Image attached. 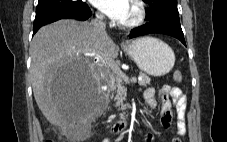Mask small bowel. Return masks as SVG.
Listing matches in <instances>:
<instances>
[{
  "label": "small bowel",
  "mask_w": 227,
  "mask_h": 142,
  "mask_svg": "<svg viewBox=\"0 0 227 142\" xmlns=\"http://www.w3.org/2000/svg\"><path fill=\"white\" fill-rule=\"evenodd\" d=\"M157 93L161 97V123L165 128H169L173 121L172 105L170 98L173 99L176 111H177V128L178 136H183L186 133L185 125V110H186V98L182 91L177 87H171L169 85L162 86ZM156 90L154 88H146L143 92V98L146 104L151 108L155 109L157 101L155 99ZM153 137L150 133L145 135V142H152ZM103 142H112L110 140H104ZM173 142H180L179 138H174Z\"/></svg>",
  "instance_id": "small-bowel-1"
}]
</instances>
